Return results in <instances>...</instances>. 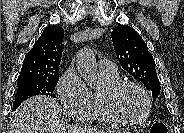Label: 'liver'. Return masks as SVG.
<instances>
[{
  "mask_svg": "<svg viewBox=\"0 0 184 133\" xmlns=\"http://www.w3.org/2000/svg\"><path fill=\"white\" fill-rule=\"evenodd\" d=\"M59 103L49 96H34L23 102L10 117L9 133H101L78 128L61 121Z\"/></svg>",
  "mask_w": 184,
  "mask_h": 133,
  "instance_id": "liver-1",
  "label": "liver"
}]
</instances>
